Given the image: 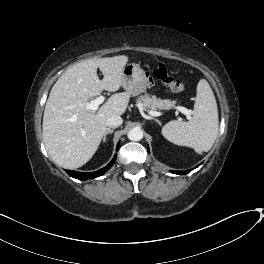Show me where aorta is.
Segmentation results:
<instances>
[{
    "mask_svg": "<svg viewBox=\"0 0 264 264\" xmlns=\"http://www.w3.org/2000/svg\"><path fill=\"white\" fill-rule=\"evenodd\" d=\"M129 140L140 141L143 138V131L140 128H132L127 134Z\"/></svg>",
    "mask_w": 264,
    "mask_h": 264,
    "instance_id": "obj_1",
    "label": "aorta"
}]
</instances>
